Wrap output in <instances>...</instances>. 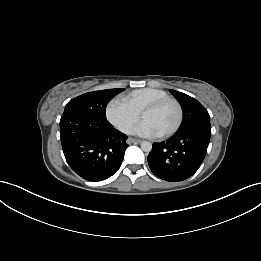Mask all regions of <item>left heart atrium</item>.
Listing matches in <instances>:
<instances>
[{
	"label": "left heart atrium",
	"mask_w": 261,
	"mask_h": 261,
	"mask_svg": "<svg viewBox=\"0 0 261 261\" xmlns=\"http://www.w3.org/2000/svg\"><path fill=\"white\" fill-rule=\"evenodd\" d=\"M134 133L144 137H156L161 133L148 121L142 120L134 129Z\"/></svg>",
	"instance_id": "39dd6f15"
}]
</instances>
